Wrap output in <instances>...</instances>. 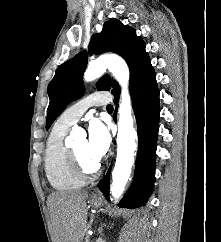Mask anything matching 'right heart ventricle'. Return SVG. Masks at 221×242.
<instances>
[{"label": "right heart ventricle", "instance_id": "e07e8e85", "mask_svg": "<svg viewBox=\"0 0 221 242\" xmlns=\"http://www.w3.org/2000/svg\"><path fill=\"white\" fill-rule=\"evenodd\" d=\"M68 129L54 125L46 143L44 152V171L49 184L57 191H71L81 188L85 180L73 170L69 149L63 139Z\"/></svg>", "mask_w": 221, "mask_h": 242}]
</instances>
